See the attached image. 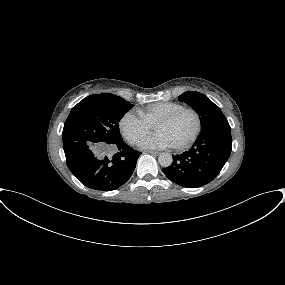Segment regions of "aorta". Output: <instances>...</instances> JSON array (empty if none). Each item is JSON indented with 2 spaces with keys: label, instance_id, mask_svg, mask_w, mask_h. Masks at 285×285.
Masks as SVG:
<instances>
[{
  "label": "aorta",
  "instance_id": "1",
  "mask_svg": "<svg viewBox=\"0 0 285 285\" xmlns=\"http://www.w3.org/2000/svg\"><path fill=\"white\" fill-rule=\"evenodd\" d=\"M158 162L162 167H168L172 164L173 158L170 153H161L158 157Z\"/></svg>",
  "mask_w": 285,
  "mask_h": 285
}]
</instances>
